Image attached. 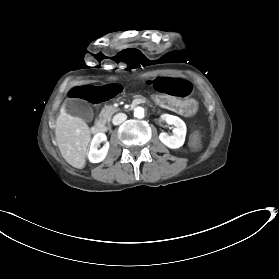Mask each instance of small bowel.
I'll return each mask as SVG.
<instances>
[{"label":"small bowel","mask_w":279,"mask_h":279,"mask_svg":"<svg viewBox=\"0 0 279 279\" xmlns=\"http://www.w3.org/2000/svg\"><path fill=\"white\" fill-rule=\"evenodd\" d=\"M149 86L158 93L173 97H187L192 92V84L185 78L158 76L148 80Z\"/></svg>","instance_id":"small-bowel-1"}]
</instances>
